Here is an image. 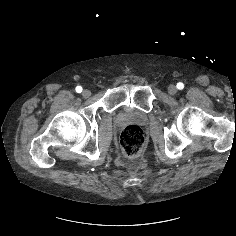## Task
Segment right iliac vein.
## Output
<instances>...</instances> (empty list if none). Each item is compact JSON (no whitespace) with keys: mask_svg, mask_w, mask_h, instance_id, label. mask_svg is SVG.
<instances>
[{"mask_svg":"<svg viewBox=\"0 0 236 236\" xmlns=\"http://www.w3.org/2000/svg\"><path fill=\"white\" fill-rule=\"evenodd\" d=\"M82 96L84 97V98H88V97H90L91 96V92H90V90H84L83 92H82Z\"/></svg>","mask_w":236,"mask_h":236,"instance_id":"63e3f726","label":"right iliac vein"}]
</instances>
